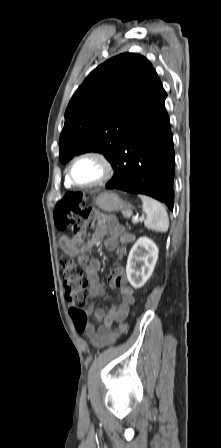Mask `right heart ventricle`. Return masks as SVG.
Instances as JSON below:
<instances>
[{
  "mask_svg": "<svg viewBox=\"0 0 221 448\" xmlns=\"http://www.w3.org/2000/svg\"><path fill=\"white\" fill-rule=\"evenodd\" d=\"M65 185H66V187H68V188L72 187V185H71L70 182L68 181L67 177H66V180H65Z\"/></svg>",
  "mask_w": 221,
  "mask_h": 448,
  "instance_id": "e07e8e85",
  "label": "right heart ventricle"
}]
</instances>
